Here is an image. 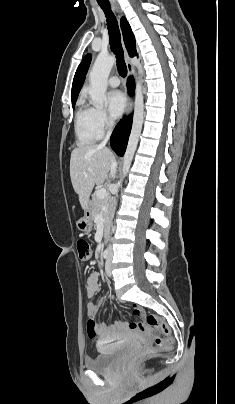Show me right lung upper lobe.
Segmentation results:
<instances>
[{
    "mask_svg": "<svg viewBox=\"0 0 235 404\" xmlns=\"http://www.w3.org/2000/svg\"><path fill=\"white\" fill-rule=\"evenodd\" d=\"M121 29H122L126 49L129 53V55L131 57H133L137 54L135 37H134L132 30L130 28V25L127 22L125 17H122V19H121ZM90 62H91V55L88 54L83 59V61L80 63V65L75 73V76L73 79V84H72V94H71L72 102H75L78 97L79 91L85 80V76H86L88 67L90 65Z\"/></svg>",
    "mask_w": 235,
    "mask_h": 404,
    "instance_id": "cb5924a9",
    "label": "right lung upper lobe"
}]
</instances>
